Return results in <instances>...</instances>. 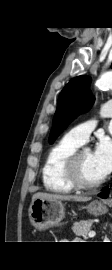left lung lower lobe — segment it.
I'll return each mask as SVG.
<instances>
[{
	"label": "left lung lower lobe",
	"mask_w": 112,
	"mask_h": 270,
	"mask_svg": "<svg viewBox=\"0 0 112 270\" xmlns=\"http://www.w3.org/2000/svg\"><path fill=\"white\" fill-rule=\"evenodd\" d=\"M108 195H109V189H108V188H106L103 192H101V193L99 194V196H100L101 198H107Z\"/></svg>",
	"instance_id": "0a47b994"
}]
</instances>
